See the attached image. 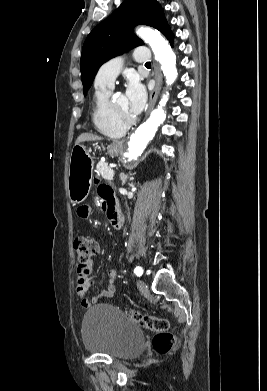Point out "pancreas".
Returning <instances> with one entry per match:
<instances>
[{"instance_id": "1", "label": "pancreas", "mask_w": 267, "mask_h": 391, "mask_svg": "<svg viewBox=\"0 0 267 391\" xmlns=\"http://www.w3.org/2000/svg\"><path fill=\"white\" fill-rule=\"evenodd\" d=\"M96 172L102 176V178L107 180H112L114 176V171L108 166L106 162L102 161L97 164Z\"/></svg>"}]
</instances>
